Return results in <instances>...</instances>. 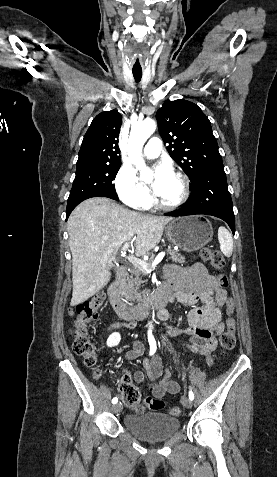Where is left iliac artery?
I'll return each instance as SVG.
<instances>
[{"label": "left iliac artery", "mask_w": 277, "mask_h": 477, "mask_svg": "<svg viewBox=\"0 0 277 477\" xmlns=\"http://www.w3.org/2000/svg\"><path fill=\"white\" fill-rule=\"evenodd\" d=\"M189 398H190L191 400H193V399H194V394H193V392H192V391H189Z\"/></svg>", "instance_id": "left-iliac-artery-1"}]
</instances>
